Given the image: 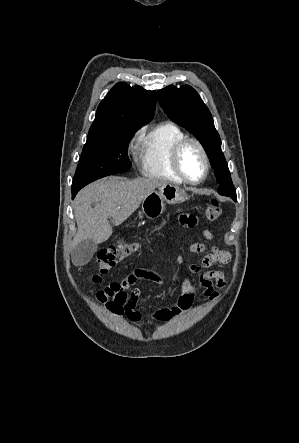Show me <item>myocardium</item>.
Wrapping results in <instances>:
<instances>
[{"mask_svg":"<svg viewBox=\"0 0 299 443\" xmlns=\"http://www.w3.org/2000/svg\"><path fill=\"white\" fill-rule=\"evenodd\" d=\"M194 144L199 149L201 156L203 158L204 162V172L202 176L197 180L190 179L186 173L184 172L182 165H181V154L184 150V148L189 145ZM172 165L177 173V175L183 180V182H186L188 184H200L202 183L208 176L210 171V161L207 154V151L204 147V145L196 138L193 137H185L182 140H180L173 148L172 152Z\"/></svg>","mask_w":299,"mask_h":443,"instance_id":"obj_1","label":"myocardium"}]
</instances>
